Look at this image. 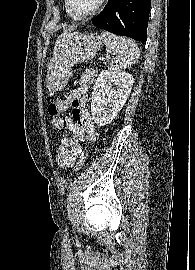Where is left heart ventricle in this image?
Here are the masks:
<instances>
[{"label": "left heart ventricle", "instance_id": "b2bd125f", "mask_svg": "<svg viewBox=\"0 0 195 270\" xmlns=\"http://www.w3.org/2000/svg\"><path fill=\"white\" fill-rule=\"evenodd\" d=\"M99 0H70L72 10L76 14H85L90 12Z\"/></svg>", "mask_w": 195, "mask_h": 270}]
</instances>
